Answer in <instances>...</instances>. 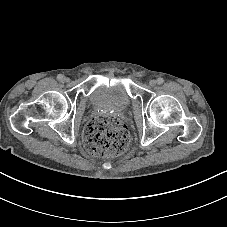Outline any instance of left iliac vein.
<instances>
[{"mask_svg": "<svg viewBox=\"0 0 227 227\" xmlns=\"http://www.w3.org/2000/svg\"><path fill=\"white\" fill-rule=\"evenodd\" d=\"M157 84V81L156 80H150L149 81V85L150 86H155Z\"/></svg>", "mask_w": 227, "mask_h": 227, "instance_id": "4c4485c4", "label": "left iliac vein"}]
</instances>
